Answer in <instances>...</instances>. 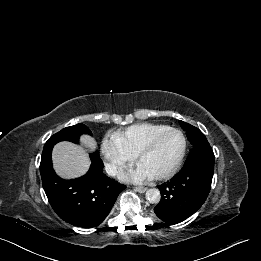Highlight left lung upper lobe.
<instances>
[{
  "instance_id": "obj_1",
  "label": "left lung upper lobe",
  "mask_w": 261,
  "mask_h": 261,
  "mask_svg": "<svg viewBox=\"0 0 261 261\" xmlns=\"http://www.w3.org/2000/svg\"><path fill=\"white\" fill-rule=\"evenodd\" d=\"M180 125L182 128L186 131V135L188 137V140L190 143L195 146L199 144L200 142L207 140L205 135L196 127L185 123L183 121H180Z\"/></svg>"
}]
</instances>
